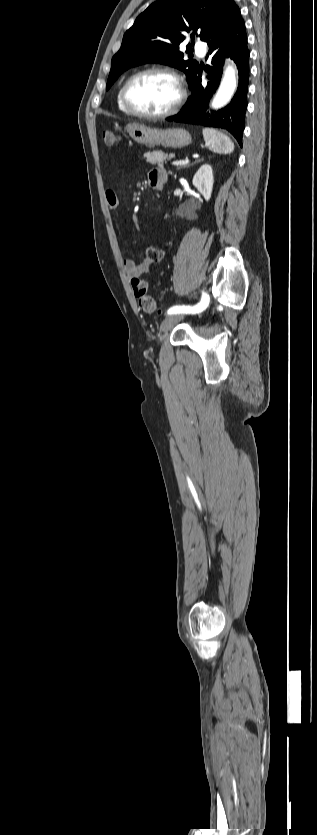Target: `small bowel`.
Instances as JSON below:
<instances>
[{
    "label": "small bowel",
    "instance_id": "small-bowel-1",
    "mask_svg": "<svg viewBox=\"0 0 317 835\" xmlns=\"http://www.w3.org/2000/svg\"><path fill=\"white\" fill-rule=\"evenodd\" d=\"M148 181L152 186L153 184H156L160 189L167 183L168 173L163 168H154L150 170V172L148 173ZM105 197L108 208L111 211H116L119 206L118 197L116 193L113 190H107L105 193ZM154 262L155 261L148 256L147 251H145V254L141 262L137 263L132 259H124L123 266L127 276L129 278H135L141 277L145 273H148Z\"/></svg>",
    "mask_w": 317,
    "mask_h": 835
}]
</instances>
